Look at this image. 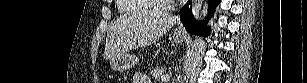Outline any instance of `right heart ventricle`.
Here are the masks:
<instances>
[{
  "label": "right heart ventricle",
  "instance_id": "1",
  "mask_svg": "<svg viewBox=\"0 0 307 83\" xmlns=\"http://www.w3.org/2000/svg\"><path fill=\"white\" fill-rule=\"evenodd\" d=\"M153 4L148 0H119L118 9L126 15H136L139 13L151 11Z\"/></svg>",
  "mask_w": 307,
  "mask_h": 83
}]
</instances>
